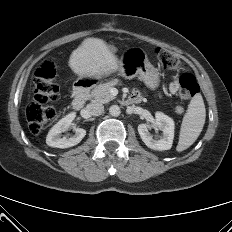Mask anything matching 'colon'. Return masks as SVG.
<instances>
[{"mask_svg": "<svg viewBox=\"0 0 232 232\" xmlns=\"http://www.w3.org/2000/svg\"><path fill=\"white\" fill-rule=\"evenodd\" d=\"M156 58L163 71L176 72L182 67V60L168 50L157 49ZM178 84V97L181 100H189L199 91L196 78L191 73H183ZM58 99L59 86L54 67L45 62L36 71L34 96L26 109V119L33 133L41 132L54 119L55 111L49 103Z\"/></svg>", "mask_w": 232, "mask_h": 232, "instance_id": "1", "label": "colon"}]
</instances>
